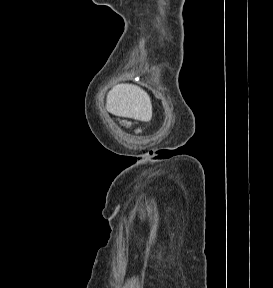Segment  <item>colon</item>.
<instances>
[{
	"label": "colon",
	"mask_w": 273,
	"mask_h": 288,
	"mask_svg": "<svg viewBox=\"0 0 273 288\" xmlns=\"http://www.w3.org/2000/svg\"><path fill=\"white\" fill-rule=\"evenodd\" d=\"M122 124L125 125V126H128V125H129V122L123 121Z\"/></svg>",
	"instance_id": "1"
}]
</instances>
